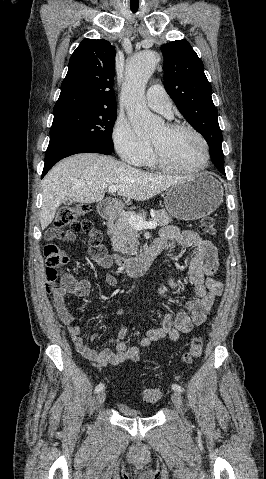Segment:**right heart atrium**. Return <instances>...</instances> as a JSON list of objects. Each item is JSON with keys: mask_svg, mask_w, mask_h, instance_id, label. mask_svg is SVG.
I'll return each mask as SVG.
<instances>
[{"mask_svg": "<svg viewBox=\"0 0 266 479\" xmlns=\"http://www.w3.org/2000/svg\"><path fill=\"white\" fill-rule=\"evenodd\" d=\"M111 137L116 152L128 164L142 166L152 155L149 142L141 139L124 118L116 119Z\"/></svg>", "mask_w": 266, "mask_h": 479, "instance_id": "obj_1", "label": "right heart atrium"}]
</instances>
